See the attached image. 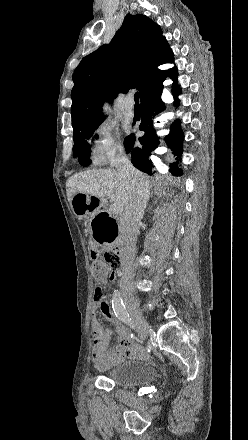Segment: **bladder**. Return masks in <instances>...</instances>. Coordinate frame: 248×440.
<instances>
[{
    "label": "bladder",
    "instance_id": "31cf9c89",
    "mask_svg": "<svg viewBox=\"0 0 248 440\" xmlns=\"http://www.w3.org/2000/svg\"><path fill=\"white\" fill-rule=\"evenodd\" d=\"M103 377L117 386L131 387L150 381L153 369L145 362L129 360L105 370Z\"/></svg>",
    "mask_w": 248,
    "mask_h": 440
}]
</instances>
